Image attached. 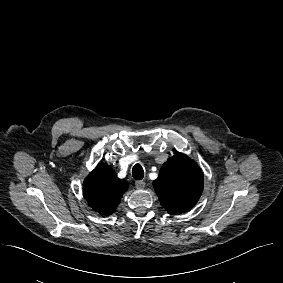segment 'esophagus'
I'll list each match as a JSON object with an SVG mask.
<instances>
[{
    "label": "esophagus",
    "mask_w": 283,
    "mask_h": 283,
    "mask_svg": "<svg viewBox=\"0 0 283 283\" xmlns=\"http://www.w3.org/2000/svg\"><path fill=\"white\" fill-rule=\"evenodd\" d=\"M135 186L138 189H142L145 187V182L143 180H137L135 181Z\"/></svg>",
    "instance_id": "esophagus-1"
}]
</instances>
